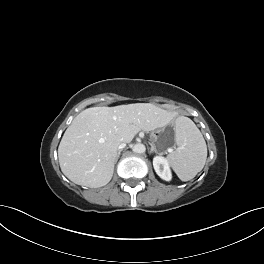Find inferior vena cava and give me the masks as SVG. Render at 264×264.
<instances>
[{"instance_id":"1","label":"inferior vena cava","mask_w":264,"mask_h":264,"mask_svg":"<svg viewBox=\"0 0 264 264\" xmlns=\"http://www.w3.org/2000/svg\"><path fill=\"white\" fill-rule=\"evenodd\" d=\"M125 146H126L125 142L121 141V142L119 143V145H118V148H119V149H122V148H124Z\"/></svg>"}]
</instances>
